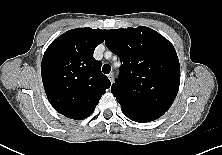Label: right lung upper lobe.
I'll return each instance as SVG.
<instances>
[{"label": "right lung upper lobe", "instance_id": "obj_1", "mask_svg": "<svg viewBox=\"0 0 222 155\" xmlns=\"http://www.w3.org/2000/svg\"><path fill=\"white\" fill-rule=\"evenodd\" d=\"M104 41L101 29H71L46 49L41 65L44 89L53 108L74 120L91 115L105 90L111 86L93 57Z\"/></svg>", "mask_w": 222, "mask_h": 155}]
</instances>
